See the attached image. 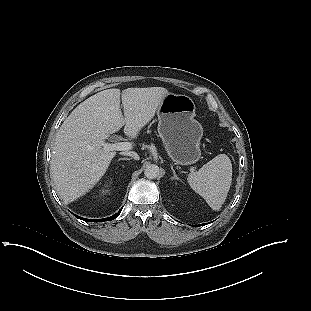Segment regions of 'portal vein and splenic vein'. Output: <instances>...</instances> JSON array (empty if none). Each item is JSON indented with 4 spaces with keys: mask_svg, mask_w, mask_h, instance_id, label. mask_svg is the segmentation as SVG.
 Masks as SVG:
<instances>
[{
    "mask_svg": "<svg viewBox=\"0 0 311 311\" xmlns=\"http://www.w3.org/2000/svg\"><path fill=\"white\" fill-rule=\"evenodd\" d=\"M132 148V144L129 142H117L114 144L104 143L103 149L107 151H128Z\"/></svg>",
    "mask_w": 311,
    "mask_h": 311,
    "instance_id": "portal-vein-and-splenic-vein-1",
    "label": "portal vein and splenic vein"
}]
</instances>
